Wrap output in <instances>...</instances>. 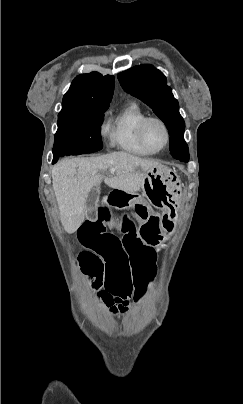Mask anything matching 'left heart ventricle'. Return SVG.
Wrapping results in <instances>:
<instances>
[{
  "label": "left heart ventricle",
  "mask_w": 243,
  "mask_h": 404,
  "mask_svg": "<svg viewBox=\"0 0 243 404\" xmlns=\"http://www.w3.org/2000/svg\"><path fill=\"white\" fill-rule=\"evenodd\" d=\"M144 135L148 143L155 149L163 147L166 143V133L163 127L156 121L147 124Z\"/></svg>",
  "instance_id": "obj_1"
}]
</instances>
